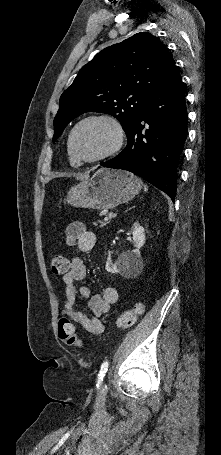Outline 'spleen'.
<instances>
[{
	"mask_svg": "<svg viewBox=\"0 0 221 455\" xmlns=\"http://www.w3.org/2000/svg\"><path fill=\"white\" fill-rule=\"evenodd\" d=\"M144 191L147 192L148 191V187L146 185H144Z\"/></svg>",
	"mask_w": 221,
	"mask_h": 455,
	"instance_id": "spleen-1",
	"label": "spleen"
}]
</instances>
